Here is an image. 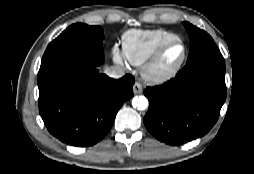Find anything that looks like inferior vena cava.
Returning a JSON list of instances; mask_svg holds the SVG:
<instances>
[{"mask_svg":"<svg viewBox=\"0 0 254 174\" xmlns=\"http://www.w3.org/2000/svg\"><path fill=\"white\" fill-rule=\"evenodd\" d=\"M125 69L122 66H111L105 69V73L114 79L121 78L124 75Z\"/></svg>","mask_w":254,"mask_h":174,"instance_id":"inferior-vena-cava-1","label":"inferior vena cava"}]
</instances>
